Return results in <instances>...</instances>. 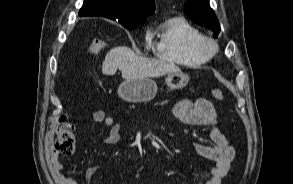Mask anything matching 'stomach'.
Listing matches in <instances>:
<instances>
[{"label":"stomach","mask_w":293,"mask_h":184,"mask_svg":"<svg viewBox=\"0 0 293 184\" xmlns=\"http://www.w3.org/2000/svg\"><path fill=\"white\" fill-rule=\"evenodd\" d=\"M189 82V76L181 71L167 74L165 83L169 89H182ZM157 93V85L150 77L125 79L118 88V95L130 103H142L152 100Z\"/></svg>","instance_id":"1"}]
</instances>
